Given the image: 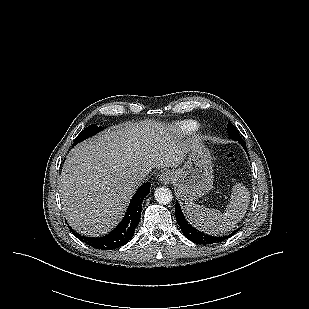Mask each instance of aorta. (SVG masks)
I'll return each instance as SVG.
<instances>
[{"mask_svg":"<svg viewBox=\"0 0 309 309\" xmlns=\"http://www.w3.org/2000/svg\"><path fill=\"white\" fill-rule=\"evenodd\" d=\"M155 200L163 205H166L172 201V192L167 187H158L154 193Z\"/></svg>","mask_w":309,"mask_h":309,"instance_id":"1","label":"aorta"}]
</instances>
